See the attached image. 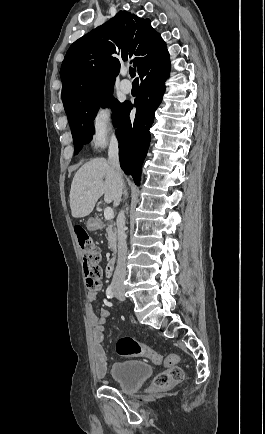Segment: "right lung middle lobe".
Instances as JSON below:
<instances>
[{
    "label": "right lung middle lobe",
    "mask_w": 265,
    "mask_h": 434,
    "mask_svg": "<svg viewBox=\"0 0 265 434\" xmlns=\"http://www.w3.org/2000/svg\"><path fill=\"white\" fill-rule=\"evenodd\" d=\"M112 92L113 86L111 85L63 103L71 127L76 154L83 144L90 142L93 134V120L101 105L102 107L112 108L114 122L117 126L120 125L129 102H118L111 96ZM102 100L103 103L101 104Z\"/></svg>",
    "instance_id": "right-lung-middle-lobe-1"
}]
</instances>
